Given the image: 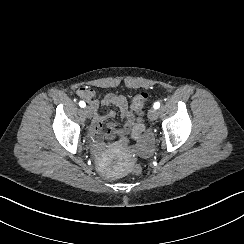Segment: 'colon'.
I'll return each instance as SVG.
<instances>
[{
    "label": "colon",
    "instance_id": "colon-1",
    "mask_svg": "<svg viewBox=\"0 0 244 244\" xmlns=\"http://www.w3.org/2000/svg\"><path fill=\"white\" fill-rule=\"evenodd\" d=\"M86 97L91 96V92L87 91L85 92ZM148 95L146 93H139L135 95L131 101V108L134 112H136L139 116V119L137 122L133 124V127L131 128V132L134 136L138 137L144 132V126H143V113L142 109L147 101ZM119 144L122 147H127L130 144V139L127 136H122L119 139ZM144 171V168L142 165L137 164L132 167L131 172L133 175L138 176L142 174Z\"/></svg>",
    "mask_w": 244,
    "mask_h": 244
}]
</instances>
